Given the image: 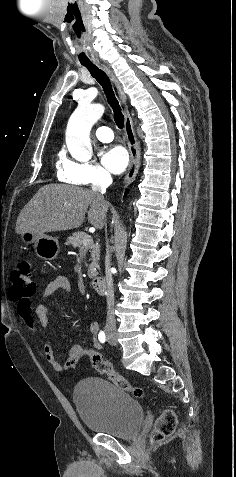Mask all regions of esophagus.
<instances>
[{"label": "esophagus", "instance_id": "1", "mask_svg": "<svg viewBox=\"0 0 236 477\" xmlns=\"http://www.w3.org/2000/svg\"><path fill=\"white\" fill-rule=\"evenodd\" d=\"M101 68L109 75V77L115 84V87L117 89V92L120 98V102L124 106V118H125L124 130H125V134H126L128 145H129V151H130V165H129L128 172L124 178V183L127 186L135 179L139 169V165H140L139 144H138L135 131L133 128L132 119L130 117L128 110L126 109V95L123 92L122 86L118 82L115 75L113 74V72H111L110 69H108L105 66H101Z\"/></svg>", "mask_w": 236, "mask_h": 477}]
</instances>
